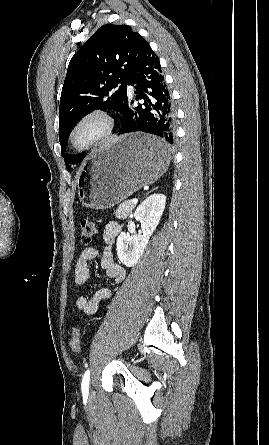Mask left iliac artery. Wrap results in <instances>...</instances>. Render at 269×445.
<instances>
[{
  "label": "left iliac artery",
  "mask_w": 269,
  "mask_h": 445,
  "mask_svg": "<svg viewBox=\"0 0 269 445\" xmlns=\"http://www.w3.org/2000/svg\"><path fill=\"white\" fill-rule=\"evenodd\" d=\"M89 381H90V370H87L82 378L81 390L84 398L88 397L89 393Z\"/></svg>",
  "instance_id": "1"
}]
</instances>
